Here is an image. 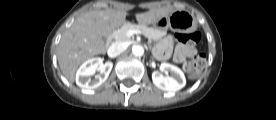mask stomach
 <instances>
[{
  "label": "stomach",
  "instance_id": "1",
  "mask_svg": "<svg viewBox=\"0 0 276 120\" xmlns=\"http://www.w3.org/2000/svg\"><path fill=\"white\" fill-rule=\"evenodd\" d=\"M152 25L161 32H165L170 28L174 32L188 33L197 28V20L192 13L176 9L168 16L158 19Z\"/></svg>",
  "mask_w": 276,
  "mask_h": 120
}]
</instances>
